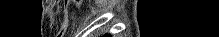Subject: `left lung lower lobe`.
I'll return each instance as SVG.
<instances>
[{
	"mask_svg": "<svg viewBox=\"0 0 219 37\" xmlns=\"http://www.w3.org/2000/svg\"><path fill=\"white\" fill-rule=\"evenodd\" d=\"M105 37V36H104ZM106 37H110V35H106Z\"/></svg>",
	"mask_w": 219,
	"mask_h": 37,
	"instance_id": "1",
	"label": "left lung lower lobe"
}]
</instances>
